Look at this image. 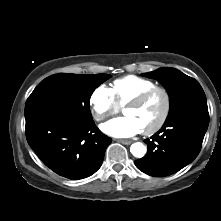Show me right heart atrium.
Returning a JSON list of instances; mask_svg holds the SVG:
<instances>
[{"label":"right heart atrium","instance_id":"d8ad5b80","mask_svg":"<svg viewBox=\"0 0 221 221\" xmlns=\"http://www.w3.org/2000/svg\"><path fill=\"white\" fill-rule=\"evenodd\" d=\"M89 104L92 116L96 121H103L120 110L111 88L105 84H101L93 90Z\"/></svg>","mask_w":221,"mask_h":221}]
</instances>
